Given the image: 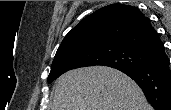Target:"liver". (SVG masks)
<instances>
[{
  "mask_svg": "<svg viewBox=\"0 0 171 110\" xmlns=\"http://www.w3.org/2000/svg\"><path fill=\"white\" fill-rule=\"evenodd\" d=\"M52 110H153L127 75L106 66L70 70L55 83Z\"/></svg>",
  "mask_w": 171,
  "mask_h": 110,
  "instance_id": "6515ba94",
  "label": "liver"
}]
</instances>
